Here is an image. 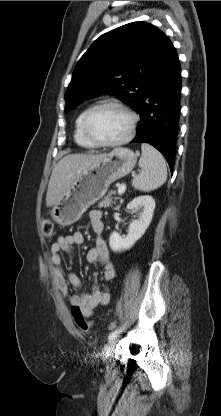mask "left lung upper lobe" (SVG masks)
<instances>
[{
	"instance_id": "obj_1",
	"label": "left lung upper lobe",
	"mask_w": 221,
	"mask_h": 416,
	"mask_svg": "<svg viewBox=\"0 0 221 416\" xmlns=\"http://www.w3.org/2000/svg\"><path fill=\"white\" fill-rule=\"evenodd\" d=\"M166 39L146 22H132L100 36L74 69L65 112L97 95L118 96L137 111Z\"/></svg>"
}]
</instances>
